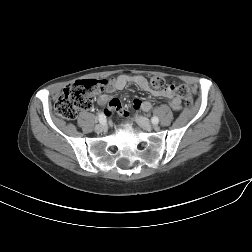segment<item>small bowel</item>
<instances>
[{"instance_id": "obj_1", "label": "small bowel", "mask_w": 252, "mask_h": 252, "mask_svg": "<svg viewBox=\"0 0 252 252\" xmlns=\"http://www.w3.org/2000/svg\"><path fill=\"white\" fill-rule=\"evenodd\" d=\"M131 84L135 85L142 91H150L147 79L143 75L121 74L118 77L110 79L108 82H106L105 91L107 94H101L98 97V104H109V110L107 111V114L111 113L113 110H116L121 115L127 116V112L121 106L119 100L111 97L109 94L123 90L126 86ZM152 94L156 97L168 98L170 100V106L174 110L181 109V99L175 95V91L172 86L162 90L152 91ZM134 106L143 111H149L152 108V103L150 101L135 100Z\"/></svg>"}]
</instances>
